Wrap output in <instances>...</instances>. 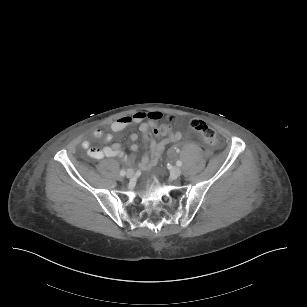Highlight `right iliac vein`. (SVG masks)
<instances>
[{"mask_svg":"<svg viewBox=\"0 0 307 307\" xmlns=\"http://www.w3.org/2000/svg\"><path fill=\"white\" fill-rule=\"evenodd\" d=\"M135 175L134 169H128L126 172L127 178H132Z\"/></svg>","mask_w":307,"mask_h":307,"instance_id":"63e3f726","label":"right iliac vein"}]
</instances>
